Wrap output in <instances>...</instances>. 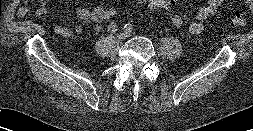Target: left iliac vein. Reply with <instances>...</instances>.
I'll return each instance as SVG.
<instances>
[{"label": "left iliac vein", "mask_w": 253, "mask_h": 131, "mask_svg": "<svg viewBox=\"0 0 253 131\" xmlns=\"http://www.w3.org/2000/svg\"><path fill=\"white\" fill-rule=\"evenodd\" d=\"M125 36H126V37H130V36H131V32L125 33Z\"/></svg>", "instance_id": "1"}]
</instances>
